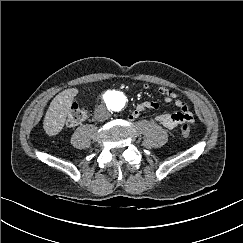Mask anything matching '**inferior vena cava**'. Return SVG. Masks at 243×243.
Returning a JSON list of instances; mask_svg holds the SVG:
<instances>
[{
    "label": "inferior vena cava",
    "instance_id": "obj_1",
    "mask_svg": "<svg viewBox=\"0 0 243 243\" xmlns=\"http://www.w3.org/2000/svg\"><path fill=\"white\" fill-rule=\"evenodd\" d=\"M96 117L99 121H104V120L108 119L109 113L107 112V110L105 108H100Z\"/></svg>",
    "mask_w": 243,
    "mask_h": 243
}]
</instances>
